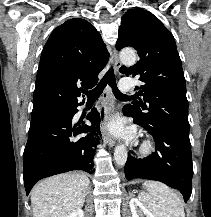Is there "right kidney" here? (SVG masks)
I'll use <instances>...</instances> for the list:
<instances>
[{"label": "right kidney", "mask_w": 211, "mask_h": 217, "mask_svg": "<svg viewBox=\"0 0 211 217\" xmlns=\"http://www.w3.org/2000/svg\"><path fill=\"white\" fill-rule=\"evenodd\" d=\"M67 217H84V213L81 209L69 214Z\"/></svg>", "instance_id": "right-kidney-1"}]
</instances>
